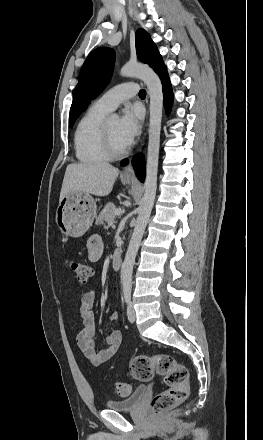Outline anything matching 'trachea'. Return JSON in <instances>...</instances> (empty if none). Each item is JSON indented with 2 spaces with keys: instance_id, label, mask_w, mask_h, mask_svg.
Wrapping results in <instances>:
<instances>
[{
  "instance_id": "3493384b",
  "label": "trachea",
  "mask_w": 263,
  "mask_h": 440,
  "mask_svg": "<svg viewBox=\"0 0 263 440\" xmlns=\"http://www.w3.org/2000/svg\"><path fill=\"white\" fill-rule=\"evenodd\" d=\"M139 96H140V97H145V96H146V91H145L144 89H141V90L139 91Z\"/></svg>"
}]
</instances>
